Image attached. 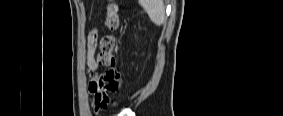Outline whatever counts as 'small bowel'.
<instances>
[{
    "label": "small bowel",
    "instance_id": "obj_1",
    "mask_svg": "<svg viewBox=\"0 0 283 116\" xmlns=\"http://www.w3.org/2000/svg\"><path fill=\"white\" fill-rule=\"evenodd\" d=\"M97 46V31L93 30L88 39V57L87 64L90 71V80L88 84V91L91 95L92 105L96 103H102L106 101L109 97V83L98 76L96 70L98 68V63L94 57V53Z\"/></svg>",
    "mask_w": 283,
    "mask_h": 116
}]
</instances>
